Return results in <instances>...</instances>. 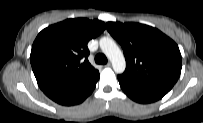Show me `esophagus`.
Masks as SVG:
<instances>
[{
    "mask_svg": "<svg viewBox=\"0 0 203 123\" xmlns=\"http://www.w3.org/2000/svg\"><path fill=\"white\" fill-rule=\"evenodd\" d=\"M105 67H111V63H107L106 65H105Z\"/></svg>",
    "mask_w": 203,
    "mask_h": 123,
    "instance_id": "obj_1",
    "label": "esophagus"
}]
</instances>
